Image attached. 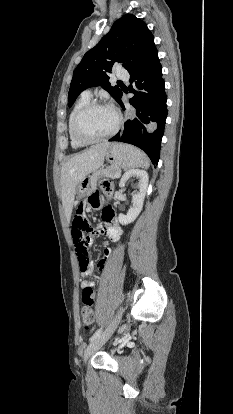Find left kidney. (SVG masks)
Instances as JSON below:
<instances>
[{
	"label": "left kidney",
	"mask_w": 233,
	"mask_h": 414,
	"mask_svg": "<svg viewBox=\"0 0 233 414\" xmlns=\"http://www.w3.org/2000/svg\"><path fill=\"white\" fill-rule=\"evenodd\" d=\"M134 176H136L139 179V184H138L139 190L137 193L133 195L132 206L128 210L127 214L126 215L119 214L118 216V220L122 225H127L129 223H132L137 218V216L139 215L143 207V202H144V198H145V194H146V190L148 186V180H149L148 174L146 171L138 170V169H131L125 172L120 180L119 186L121 188L125 187V183L131 177H134Z\"/></svg>",
	"instance_id": "left-kidney-1"
}]
</instances>
